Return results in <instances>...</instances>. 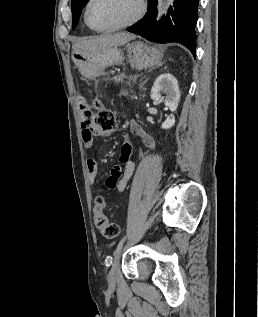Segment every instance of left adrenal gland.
<instances>
[{
    "label": "left adrenal gland",
    "instance_id": "a2214340",
    "mask_svg": "<svg viewBox=\"0 0 258 317\" xmlns=\"http://www.w3.org/2000/svg\"><path fill=\"white\" fill-rule=\"evenodd\" d=\"M148 78H146V80H144V82H147ZM144 82H142V84H140V88H142Z\"/></svg>",
    "mask_w": 258,
    "mask_h": 317
}]
</instances>
